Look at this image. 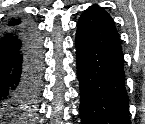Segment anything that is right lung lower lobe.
Returning a JSON list of instances; mask_svg holds the SVG:
<instances>
[{
  "label": "right lung lower lobe",
  "instance_id": "1",
  "mask_svg": "<svg viewBox=\"0 0 145 124\" xmlns=\"http://www.w3.org/2000/svg\"><path fill=\"white\" fill-rule=\"evenodd\" d=\"M40 55V38L31 26L0 31V119L16 123L34 113Z\"/></svg>",
  "mask_w": 145,
  "mask_h": 124
}]
</instances>
